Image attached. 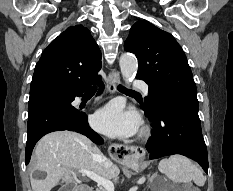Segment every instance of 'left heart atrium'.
Segmentation results:
<instances>
[{"label":"left heart atrium","mask_w":233,"mask_h":191,"mask_svg":"<svg viewBox=\"0 0 233 191\" xmlns=\"http://www.w3.org/2000/svg\"><path fill=\"white\" fill-rule=\"evenodd\" d=\"M140 124L141 120L136 113L126 111L116 102L99 109L92 117L93 127L111 137H131L138 132Z\"/></svg>","instance_id":"left-heart-atrium-1"}]
</instances>
